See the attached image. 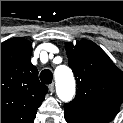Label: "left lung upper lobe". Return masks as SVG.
Returning a JSON list of instances; mask_svg holds the SVG:
<instances>
[{"label":"left lung upper lobe","mask_w":123,"mask_h":123,"mask_svg":"<svg viewBox=\"0 0 123 123\" xmlns=\"http://www.w3.org/2000/svg\"><path fill=\"white\" fill-rule=\"evenodd\" d=\"M66 52L78 89L64 108L110 121L123 101V72L92 41L81 40L75 46L66 43Z\"/></svg>","instance_id":"5c2ea615"}]
</instances>
